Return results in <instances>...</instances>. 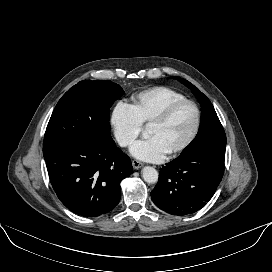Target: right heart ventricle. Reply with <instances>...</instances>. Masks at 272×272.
I'll return each instance as SVG.
<instances>
[{
    "label": "right heart ventricle",
    "mask_w": 272,
    "mask_h": 272,
    "mask_svg": "<svg viewBox=\"0 0 272 272\" xmlns=\"http://www.w3.org/2000/svg\"><path fill=\"white\" fill-rule=\"evenodd\" d=\"M186 97L169 87L157 86L144 90L132 97V108L142 124L149 123L170 104Z\"/></svg>",
    "instance_id": "right-heart-ventricle-1"
}]
</instances>
